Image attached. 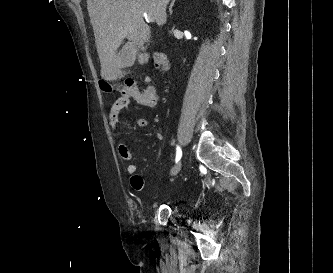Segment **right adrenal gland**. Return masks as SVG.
Here are the masks:
<instances>
[{
  "label": "right adrenal gland",
  "mask_w": 333,
  "mask_h": 273,
  "mask_svg": "<svg viewBox=\"0 0 333 273\" xmlns=\"http://www.w3.org/2000/svg\"><path fill=\"white\" fill-rule=\"evenodd\" d=\"M175 1L176 0H172V2H171V4H170V6H169V13H170V15L172 14V8H173V6H174V3H175Z\"/></svg>",
  "instance_id": "obj_1"
}]
</instances>
